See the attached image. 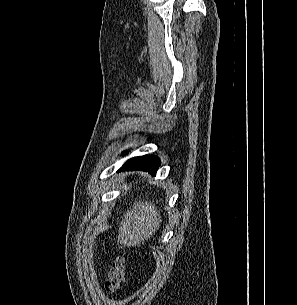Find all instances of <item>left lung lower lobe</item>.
Wrapping results in <instances>:
<instances>
[{"instance_id":"obj_1","label":"left lung lower lobe","mask_w":297,"mask_h":305,"mask_svg":"<svg viewBox=\"0 0 297 305\" xmlns=\"http://www.w3.org/2000/svg\"><path fill=\"white\" fill-rule=\"evenodd\" d=\"M159 166L160 160L157 156L145 155L128 160L118 172L143 170L155 175Z\"/></svg>"}]
</instances>
